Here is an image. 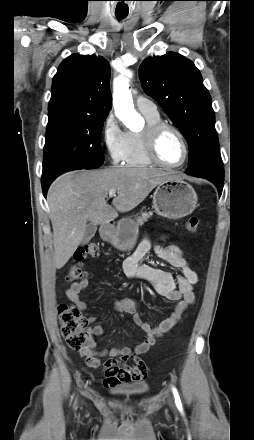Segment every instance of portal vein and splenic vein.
Masks as SVG:
<instances>
[{
    "label": "portal vein and splenic vein",
    "mask_w": 254,
    "mask_h": 440,
    "mask_svg": "<svg viewBox=\"0 0 254 440\" xmlns=\"http://www.w3.org/2000/svg\"><path fill=\"white\" fill-rule=\"evenodd\" d=\"M109 197H113L116 195V190H110L108 193Z\"/></svg>",
    "instance_id": "1"
}]
</instances>
